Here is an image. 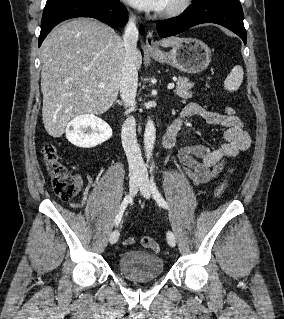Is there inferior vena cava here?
<instances>
[{"mask_svg": "<svg viewBox=\"0 0 284 319\" xmlns=\"http://www.w3.org/2000/svg\"><path fill=\"white\" fill-rule=\"evenodd\" d=\"M139 32L135 17L129 18L123 36L125 58L122 66L120 80V96L126 107L135 105V97L138 85V72L135 64L137 52V40ZM122 144L127 156L130 171H139L144 167L141 151L136 138V122L133 117L128 118L121 132Z\"/></svg>", "mask_w": 284, "mask_h": 319, "instance_id": "602c4592", "label": "inferior vena cava"}]
</instances>
